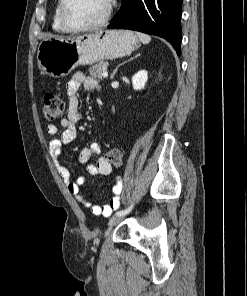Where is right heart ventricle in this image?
Listing matches in <instances>:
<instances>
[{
	"label": "right heart ventricle",
	"instance_id": "e07e8e85",
	"mask_svg": "<svg viewBox=\"0 0 247 296\" xmlns=\"http://www.w3.org/2000/svg\"><path fill=\"white\" fill-rule=\"evenodd\" d=\"M60 4H61V0H57L54 8V12H53L52 27H53V30L58 33H66L67 31L63 28V26L60 23V17H59Z\"/></svg>",
	"mask_w": 247,
	"mask_h": 296
}]
</instances>
